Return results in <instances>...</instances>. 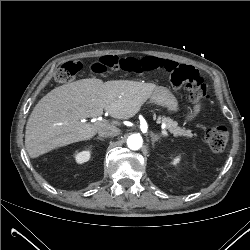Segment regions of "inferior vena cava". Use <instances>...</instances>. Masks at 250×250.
Here are the masks:
<instances>
[{"label": "inferior vena cava", "instance_id": "1", "mask_svg": "<svg viewBox=\"0 0 250 250\" xmlns=\"http://www.w3.org/2000/svg\"><path fill=\"white\" fill-rule=\"evenodd\" d=\"M119 133L120 130L117 127L104 128L98 132L100 137H115L119 135Z\"/></svg>", "mask_w": 250, "mask_h": 250}]
</instances>
